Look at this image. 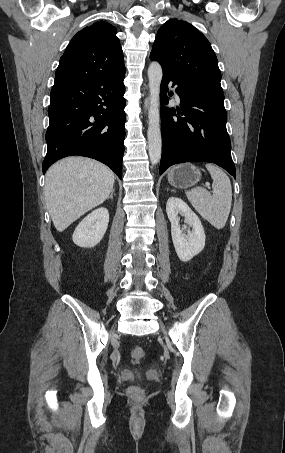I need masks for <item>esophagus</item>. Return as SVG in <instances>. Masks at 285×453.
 I'll return each instance as SVG.
<instances>
[{"instance_id": "34e87169", "label": "esophagus", "mask_w": 285, "mask_h": 453, "mask_svg": "<svg viewBox=\"0 0 285 453\" xmlns=\"http://www.w3.org/2000/svg\"><path fill=\"white\" fill-rule=\"evenodd\" d=\"M149 105H150L149 97H146L145 100H144V105H143L145 112L148 110Z\"/></svg>"}]
</instances>
